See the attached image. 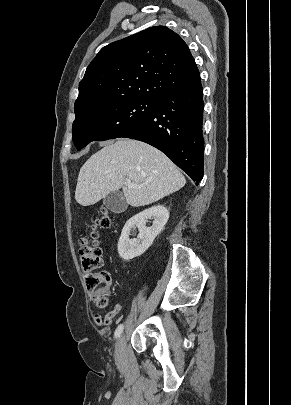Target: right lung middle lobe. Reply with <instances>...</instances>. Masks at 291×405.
Masks as SVG:
<instances>
[{
	"mask_svg": "<svg viewBox=\"0 0 291 405\" xmlns=\"http://www.w3.org/2000/svg\"><path fill=\"white\" fill-rule=\"evenodd\" d=\"M156 106L155 99L125 97L91 104L76 111L73 142L77 150L92 141L120 138L140 126Z\"/></svg>",
	"mask_w": 291,
	"mask_h": 405,
	"instance_id": "right-lung-middle-lobe-1",
	"label": "right lung middle lobe"
}]
</instances>
